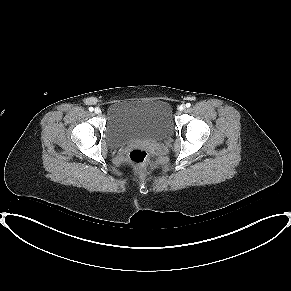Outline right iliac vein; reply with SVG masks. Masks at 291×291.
<instances>
[{
	"label": "right iliac vein",
	"instance_id": "1",
	"mask_svg": "<svg viewBox=\"0 0 291 291\" xmlns=\"http://www.w3.org/2000/svg\"><path fill=\"white\" fill-rule=\"evenodd\" d=\"M94 111H95L96 114H101V109L100 108H95Z\"/></svg>",
	"mask_w": 291,
	"mask_h": 291
}]
</instances>
